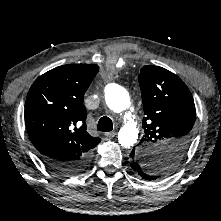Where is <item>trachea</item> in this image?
<instances>
[{"mask_svg": "<svg viewBox=\"0 0 221 221\" xmlns=\"http://www.w3.org/2000/svg\"><path fill=\"white\" fill-rule=\"evenodd\" d=\"M97 129L102 132H110L113 129L112 120L109 117H102L97 124Z\"/></svg>", "mask_w": 221, "mask_h": 221, "instance_id": "3493384b", "label": "trachea"}]
</instances>
